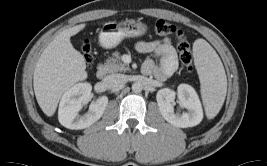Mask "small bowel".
<instances>
[{
	"label": "small bowel",
	"mask_w": 267,
	"mask_h": 166,
	"mask_svg": "<svg viewBox=\"0 0 267 166\" xmlns=\"http://www.w3.org/2000/svg\"><path fill=\"white\" fill-rule=\"evenodd\" d=\"M135 48L140 53H152L160 58L159 63L148 58L142 66V72L146 75L152 74L157 80L165 81L171 77L178 67V57L172 41L163 38L154 41H139Z\"/></svg>",
	"instance_id": "c3829d8e"
}]
</instances>
